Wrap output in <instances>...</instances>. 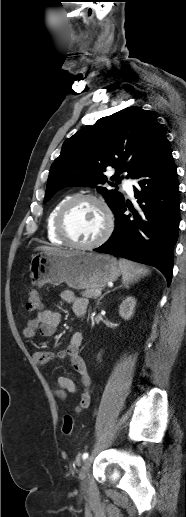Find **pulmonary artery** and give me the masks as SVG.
I'll use <instances>...</instances> for the list:
<instances>
[{"instance_id":"1","label":"pulmonary artery","mask_w":186,"mask_h":517,"mask_svg":"<svg viewBox=\"0 0 186 517\" xmlns=\"http://www.w3.org/2000/svg\"><path fill=\"white\" fill-rule=\"evenodd\" d=\"M123 187H124V189L126 190L127 194H128L130 197H133L134 192H133V183H132V180H131V179H124V180H123Z\"/></svg>"}]
</instances>
